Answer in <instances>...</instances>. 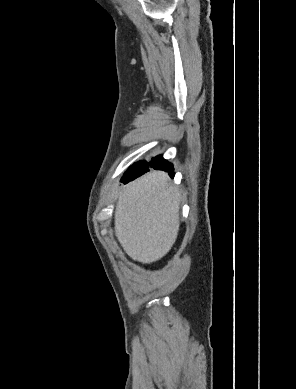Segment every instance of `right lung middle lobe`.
<instances>
[{
  "instance_id": "dd1d6c3e",
  "label": "right lung middle lobe",
  "mask_w": 296,
  "mask_h": 389,
  "mask_svg": "<svg viewBox=\"0 0 296 389\" xmlns=\"http://www.w3.org/2000/svg\"><path fill=\"white\" fill-rule=\"evenodd\" d=\"M147 165H148V163L146 161H140V162L134 164L132 166V168H134V167L145 168Z\"/></svg>"
}]
</instances>
